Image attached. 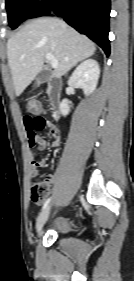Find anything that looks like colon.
Wrapping results in <instances>:
<instances>
[{
  "mask_svg": "<svg viewBox=\"0 0 134 281\" xmlns=\"http://www.w3.org/2000/svg\"><path fill=\"white\" fill-rule=\"evenodd\" d=\"M27 108L31 113H38L41 109V105L36 100H30L27 104ZM48 192V185L44 182L33 181L30 185V197L35 203H41Z\"/></svg>",
  "mask_w": 134,
  "mask_h": 281,
  "instance_id": "obj_1",
  "label": "colon"
}]
</instances>
